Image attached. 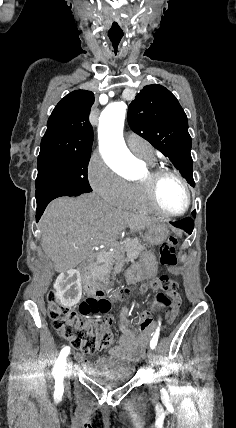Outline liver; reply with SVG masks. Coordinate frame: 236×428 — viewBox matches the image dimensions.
Returning <instances> with one entry per match:
<instances>
[{"instance_id":"6515ba94","label":"liver","mask_w":236,"mask_h":428,"mask_svg":"<svg viewBox=\"0 0 236 428\" xmlns=\"http://www.w3.org/2000/svg\"><path fill=\"white\" fill-rule=\"evenodd\" d=\"M157 220L111 208L96 194L57 198L40 222L41 246L56 272L72 270L91 256L97 244H116L125 228L141 232Z\"/></svg>"}]
</instances>
